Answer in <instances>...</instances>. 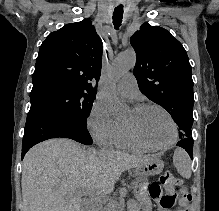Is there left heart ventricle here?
Listing matches in <instances>:
<instances>
[{"label": "left heart ventricle", "instance_id": "b2bd125f", "mask_svg": "<svg viewBox=\"0 0 219 211\" xmlns=\"http://www.w3.org/2000/svg\"><path fill=\"white\" fill-rule=\"evenodd\" d=\"M123 121L129 123L146 142L152 145H165L172 139L171 123L157 108L130 109Z\"/></svg>", "mask_w": 219, "mask_h": 211}]
</instances>
